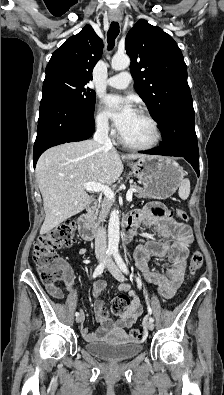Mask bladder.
I'll list each match as a JSON object with an SVG mask.
<instances>
[{
  "label": "bladder",
  "mask_w": 224,
  "mask_h": 395,
  "mask_svg": "<svg viewBox=\"0 0 224 395\" xmlns=\"http://www.w3.org/2000/svg\"><path fill=\"white\" fill-rule=\"evenodd\" d=\"M85 350L101 359L110 362L127 361L143 350V345L136 341H128L123 338L122 342L96 341L84 345Z\"/></svg>",
  "instance_id": "1"
}]
</instances>
